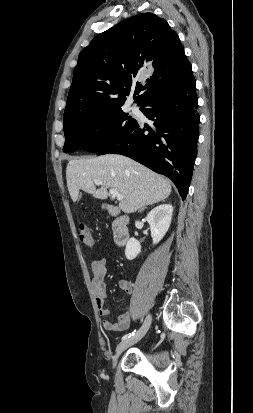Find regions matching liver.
Instances as JSON below:
<instances>
[{
  "instance_id": "6515ba94",
  "label": "liver",
  "mask_w": 253,
  "mask_h": 413,
  "mask_svg": "<svg viewBox=\"0 0 253 413\" xmlns=\"http://www.w3.org/2000/svg\"><path fill=\"white\" fill-rule=\"evenodd\" d=\"M66 179L73 202L77 201L80 189L101 200L108 198V188L116 189L123 195L119 208L127 214L163 201L171 193L169 180L117 154L72 159L67 164ZM94 180L102 182L100 188L96 189Z\"/></svg>"
}]
</instances>
